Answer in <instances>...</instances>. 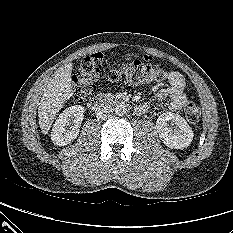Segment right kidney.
Listing matches in <instances>:
<instances>
[{
	"mask_svg": "<svg viewBox=\"0 0 233 233\" xmlns=\"http://www.w3.org/2000/svg\"><path fill=\"white\" fill-rule=\"evenodd\" d=\"M84 117V107L75 105L64 110L56 119L52 128L51 139L55 145L64 146L79 134V127Z\"/></svg>",
	"mask_w": 233,
	"mask_h": 233,
	"instance_id": "1",
	"label": "right kidney"
}]
</instances>
